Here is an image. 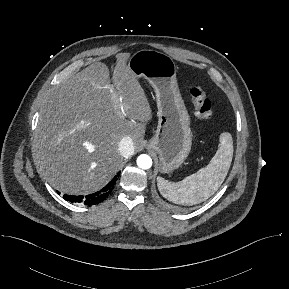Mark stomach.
Segmentation results:
<instances>
[{
    "instance_id": "obj_1",
    "label": "stomach",
    "mask_w": 289,
    "mask_h": 289,
    "mask_svg": "<svg viewBox=\"0 0 289 289\" xmlns=\"http://www.w3.org/2000/svg\"><path fill=\"white\" fill-rule=\"evenodd\" d=\"M127 66L155 91L158 125L147 148L159 155V171L170 173L183 164L192 144L190 118L177 84V66L169 55L151 49L134 53Z\"/></svg>"
}]
</instances>
